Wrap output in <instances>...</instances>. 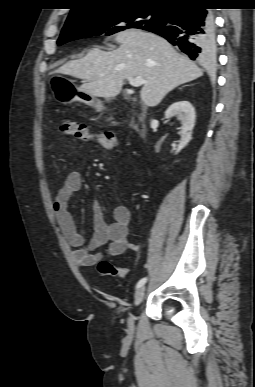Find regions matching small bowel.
Returning a JSON list of instances; mask_svg holds the SVG:
<instances>
[{
    "instance_id": "small-bowel-1",
    "label": "small bowel",
    "mask_w": 255,
    "mask_h": 387,
    "mask_svg": "<svg viewBox=\"0 0 255 387\" xmlns=\"http://www.w3.org/2000/svg\"><path fill=\"white\" fill-rule=\"evenodd\" d=\"M82 175L77 170L70 171L53 200L57 224L66 239L73 247V259L81 267L94 266L103 257L97 249L106 246V254L118 256L127 251H136L138 245L129 240L131 212L125 205L117 206L112 213V222L105 219L102 205L93 201L94 233L88 244L76 227L69 211L72 196L81 189Z\"/></svg>"
}]
</instances>
